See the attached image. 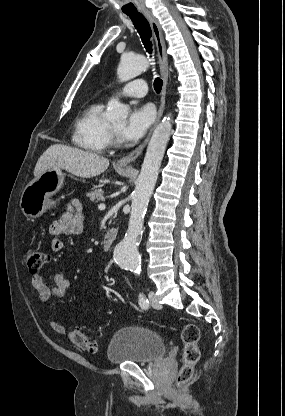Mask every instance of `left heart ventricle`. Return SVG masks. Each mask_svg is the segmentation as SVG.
Instances as JSON below:
<instances>
[{"instance_id":"obj_1","label":"left heart ventricle","mask_w":285,"mask_h":416,"mask_svg":"<svg viewBox=\"0 0 285 416\" xmlns=\"http://www.w3.org/2000/svg\"><path fill=\"white\" fill-rule=\"evenodd\" d=\"M109 125L117 132L123 126V121L110 122Z\"/></svg>"}]
</instances>
